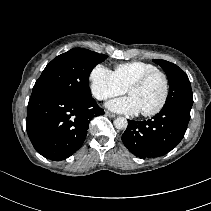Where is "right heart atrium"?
Here are the masks:
<instances>
[{
	"label": "right heart atrium",
	"mask_w": 211,
	"mask_h": 211,
	"mask_svg": "<svg viewBox=\"0 0 211 211\" xmlns=\"http://www.w3.org/2000/svg\"><path fill=\"white\" fill-rule=\"evenodd\" d=\"M90 90L98 100L121 95L125 88L118 82L114 73L102 64L95 65L89 74Z\"/></svg>",
	"instance_id": "obj_1"
}]
</instances>
